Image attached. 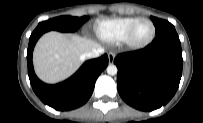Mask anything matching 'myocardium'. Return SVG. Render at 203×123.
Masks as SVG:
<instances>
[{"instance_id": "1", "label": "myocardium", "mask_w": 203, "mask_h": 123, "mask_svg": "<svg viewBox=\"0 0 203 123\" xmlns=\"http://www.w3.org/2000/svg\"><path fill=\"white\" fill-rule=\"evenodd\" d=\"M143 22H149L152 25V28H153L152 35L143 42H137L134 39V35H135V32H136L137 28L139 27V25L142 24ZM155 35H156V27H155L154 22L148 18H141L129 29V31L124 39V42L128 47H130L132 49H140V48H144L147 45H149L154 40Z\"/></svg>"}]
</instances>
